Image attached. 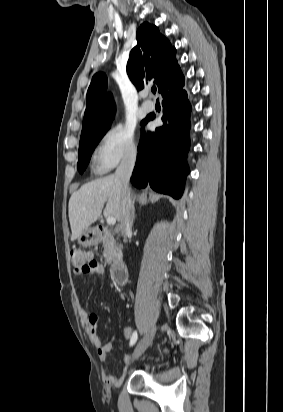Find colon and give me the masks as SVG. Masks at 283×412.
Returning a JSON list of instances; mask_svg holds the SVG:
<instances>
[{
	"label": "colon",
	"instance_id": "1",
	"mask_svg": "<svg viewBox=\"0 0 283 412\" xmlns=\"http://www.w3.org/2000/svg\"><path fill=\"white\" fill-rule=\"evenodd\" d=\"M70 262L73 270L78 274H93L99 268V263L96 260L89 259L86 253L76 249L70 252Z\"/></svg>",
	"mask_w": 283,
	"mask_h": 412
}]
</instances>
